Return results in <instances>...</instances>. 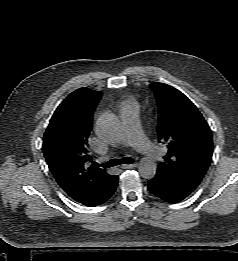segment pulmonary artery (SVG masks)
Returning a JSON list of instances; mask_svg holds the SVG:
<instances>
[{
  "instance_id": "obj_1",
  "label": "pulmonary artery",
  "mask_w": 238,
  "mask_h": 261,
  "mask_svg": "<svg viewBox=\"0 0 238 261\" xmlns=\"http://www.w3.org/2000/svg\"><path fill=\"white\" fill-rule=\"evenodd\" d=\"M120 118L123 127L122 142L150 158H160L159 149L146 138L142 131L137 106L135 104L124 106L120 111Z\"/></svg>"
}]
</instances>
